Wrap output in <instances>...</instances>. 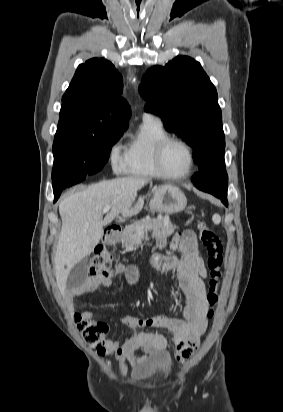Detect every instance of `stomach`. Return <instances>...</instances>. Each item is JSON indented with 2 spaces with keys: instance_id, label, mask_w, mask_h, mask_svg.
<instances>
[{
  "instance_id": "0dacf381",
  "label": "stomach",
  "mask_w": 283,
  "mask_h": 412,
  "mask_svg": "<svg viewBox=\"0 0 283 412\" xmlns=\"http://www.w3.org/2000/svg\"><path fill=\"white\" fill-rule=\"evenodd\" d=\"M150 209L159 213L175 214L183 211L187 206L184 193L176 186L162 185L154 189L150 201Z\"/></svg>"
}]
</instances>
